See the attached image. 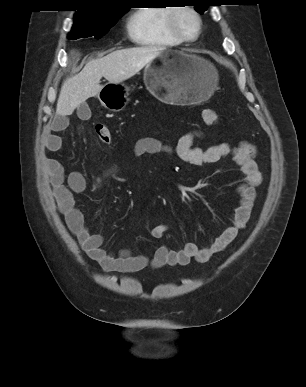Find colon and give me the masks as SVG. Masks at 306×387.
I'll use <instances>...</instances> for the list:
<instances>
[{
    "label": "colon",
    "instance_id": "obj_1",
    "mask_svg": "<svg viewBox=\"0 0 306 387\" xmlns=\"http://www.w3.org/2000/svg\"><path fill=\"white\" fill-rule=\"evenodd\" d=\"M203 120L209 124L214 125L219 121V115L211 109H206L202 113ZM96 134L99 140L104 144H109L112 140L110 129L104 124L96 125Z\"/></svg>",
    "mask_w": 306,
    "mask_h": 387
}]
</instances>
